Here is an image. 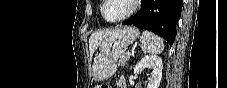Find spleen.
<instances>
[{"label": "spleen", "instance_id": "1", "mask_svg": "<svg viewBox=\"0 0 227 88\" xmlns=\"http://www.w3.org/2000/svg\"><path fill=\"white\" fill-rule=\"evenodd\" d=\"M142 51L149 54H158L163 51V39L150 31H143L141 35Z\"/></svg>", "mask_w": 227, "mask_h": 88}]
</instances>
